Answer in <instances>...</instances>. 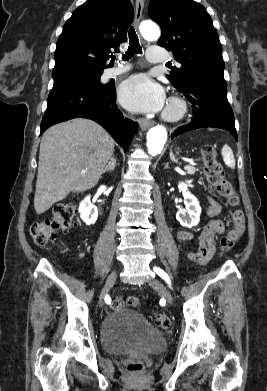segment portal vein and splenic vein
Segmentation results:
<instances>
[{
	"label": "portal vein and splenic vein",
	"mask_w": 267,
	"mask_h": 391,
	"mask_svg": "<svg viewBox=\"0 0 267 391\" xmlns=\"http://www.w3.org/2000/svg\"><path fill=\"white\" fill-rule=\"evenodd\" d=\"M188 161H189V163H190L191 165H195V163H194L192 160H188ZM82 172L85 173L86 171L83 170Z\"/></svg>",
	"instance_id": "obj_1"
}]
</instances>
